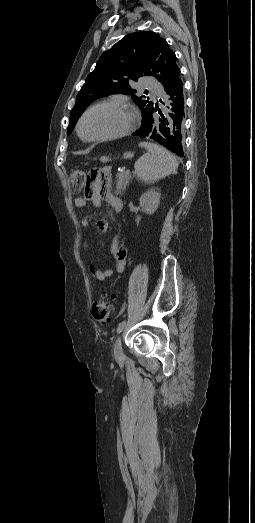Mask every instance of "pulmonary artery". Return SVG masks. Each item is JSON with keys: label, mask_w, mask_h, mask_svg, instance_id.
<instances>
[{"label": "pulmonary artery", "mask_w": 255, "mask_h": 523, "mask_svg": "<svg viewBox=\"0 0 255 523\" xmlns=\"http://www.w3.org/2000/svg\"><path fill=\"white\" fill-rule=\"evenodd\" d=\"M143 88L145 91L150 92V98L151 100L155 101L154 105L156 107H159L161 105V100H163L164 95L162 93V84L160 83L159 79L156 77L153 78H146L144 80Z\"/></svg>", "instance_id": "e3ab8cb5"}]
</instances>
